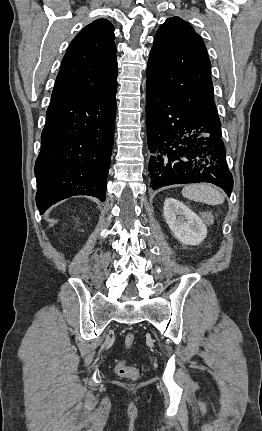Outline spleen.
<instances>
[{
    "label": "spleen",
    "mask_w": 262,
    "mask_h": 431,
    "mask_svg": "<svg viewBox=\"0 0 262 431\" xmlns=\"http://www.w3.org/2000/svg\"><path fill=\"white\" fill-rule=\"evenodd\" d=\"M182 195L196 202L209 205H219L224 202V196L209 184H192L185 186Z\"/></svg>",
    "instance_id": "obj_1"
}]
</instances>
